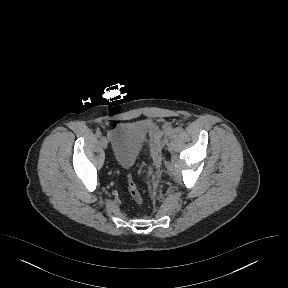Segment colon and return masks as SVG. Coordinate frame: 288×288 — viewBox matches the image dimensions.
<instances>
[{"instance_id": "5ec220e1", "label": "colon", "mask_w": 288, "mask_h": 288, "mask_svg": "<svg viewBox=\"0 0 288 288\" xmlns=\"http://www.w3.org/2000/svg\"><path fill=\"white\" fill-rule=\"evenodd\" d=\"M126 181H127L128 192H129L131 198L137 204H142V202H143L142 195H141L139 189L137 188L134 180L132 179V177L130 175H127Z\"/></svg>"}]
</instances>
